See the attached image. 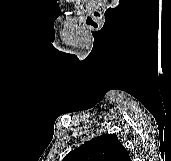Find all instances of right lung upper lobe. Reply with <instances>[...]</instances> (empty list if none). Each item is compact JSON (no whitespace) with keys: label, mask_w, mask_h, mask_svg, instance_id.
Returning a JSON list of instances; mask_svg holds the SVG:
<instances>
[{"label":"right lung upper lobe","mask_w":171,"mask_h":161,"mask_svg":"<svg viewBox=\"0 0 171 161\" xmlns=\"http://www.w3.org/2000/svg\"><path fill=\"white\" fill-rule=\"evenodd\" d=\"M63 161H131V158L116 135L106 134L71 151Z\"/></svg>","instance_id":"1"}]
</instances>
